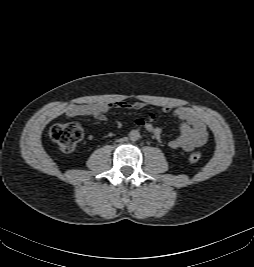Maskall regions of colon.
I'll list each match as a JSON object with an SVG mask.
<instances>
[{
  "label": "colon",
  "instance_id": "obj_1",
  "mask_svg": "<svg viewBox=\"0 0 254 267\" xmlns=\"http://www.w3.org/2000/svg\"><path fill=\"white\" fill-rule=\"evenodd\" d=\"M49 134L62 152L71 153L83 138L84 130L77 122L58 123L50 128ZM201 157V153L193 152L190 154L189 160L196 163L200 161Z\"/></svg>",
  "mask_w": 254,
  "mask_h": 267
}]
</instances>
